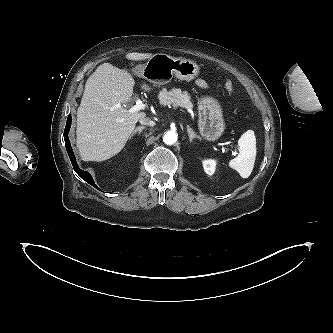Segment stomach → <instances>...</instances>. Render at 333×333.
<instances>
[{"label": "stomach", "instance_id": "0dacf381", "mask_svg": "<svg viewBox=\"0 0 333 333\" xmlns=\"http://www.w3.org/2000/svg\"><path fill=\"white\" fill-rule=\"evenodd\" d=\"M133 72L153 84L164 85L174 76L191 81L198 76L200 68L191 60L158 53L152 55L145 64L137 65ZM198 116L201 136L211 142L219 139L225 129L219 102L212 96H202L198 100Z\"/></svg>", "mask_w": 333, "mask_h": 333}]
</instances>
